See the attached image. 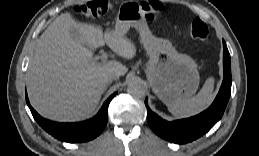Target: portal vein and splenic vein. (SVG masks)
Here are the masks:
<instances>
[{
	"mask_svg": "<svg viewBox=\"0 0 259 156\" xmlns=\"http://www.w3.org/2000/svg\"><path fill=\"white\" fill-rule=\"evenodd\" d=\"M108 58V54L105 52H102L101 56H97L95 57L92 62L95 64H102L103 62H105ZM101 60V61H99Z\"/></svg>",
	"mask_w": 259,
	"mask_h": 156,
	"instance_id": "portal-vein-and-splenic-vein-1",
	"label": "portal vein and splenic vein"
}]
</instances>
